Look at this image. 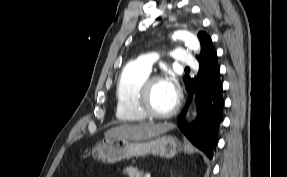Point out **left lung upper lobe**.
Returning <instances> with one entry per match:
<instances>
[{"label":"left lung upper lobe","instance_id":"obj_1","mask_svg":"<svg viewBox=\"0 0 287 177\" xmlns=\"http://www.w3.org/2000/svg\"><path fill=\"white\" fill-rule=\"evenodd\" d=\"M198 38L200 40V43H201V54L203 53L204 49H205V46H206V43L208 41H210V37L207 33L205 32H199L198 33Z\"/></svg>","mask_w":287,"mask_h":177}]
</instances>
